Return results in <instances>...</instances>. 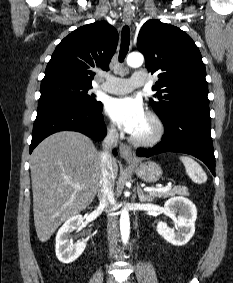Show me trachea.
Segmentation results:
<instances>
[{
  "instance_id": "obj_1",
  "label": "trachea",
  "mask_w": 233,
  "mask_h": 283,
  "mask_svg": "<svg viewBox=\"0 0 233 283\" xmlns=\"http://www.w3.org/2000/svg\"><path fill=\"white\" fill-rule=\"evenodd\" d=\"M129 44H130V29L126 25L122 29L121 33V47L119 52V61L122 63L124 61V58L126 57L128 50H129Z\"/></svg>"
}]
</instances>
